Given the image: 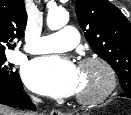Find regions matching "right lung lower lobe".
Here are the masks:
<instances>
[{
  "label": "right lung lower lobe",
  "instance_id": "1",
  "mask_svg": "<svg viewBox=\"0 0 131 115\" xmlns=\"http://www.w3.org/2000/svg\"><path fill=\"white\" fill-rule=\"evenodd\" d=\"M22 90L20 78L8 87H0V103L14 108L20 106L22 109H35Z\"/></svg>",
  "mask_w": 131,
  "mask_h": 115
}]
</instances>
